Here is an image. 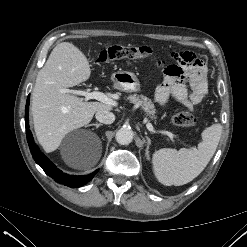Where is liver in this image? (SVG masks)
I'll list each match as a JSON object with an SVG mask.
<instances>
[{
    "mask_svg": "<svg viewBox=\"0 0 247 247\" xmlns=\"http://www.w3.org/2000/svg\"><path fill=\"white\" fill-rule=\"evenodd\" d=\"M91 69L86 56L72 43L62 42L52 50L39 71L32 92L31 110L37 139L46 152L56 150L74 129L86 126L99 110H111L100 102H86L62 90L89 79ZM101 156V147L91 157L67 160L77 169L91 168Z\"/></svg>",
    "mask_w": 247,
    "mask_h": 247,
    "instance_id": "obj_1",
    "label": "liver"
}]
</instances>
